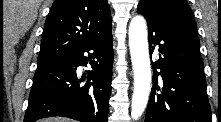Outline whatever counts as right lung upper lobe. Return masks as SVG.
Listing matches in <instances>:
<instances>
[{
    "instance_id": "cb5924a9",
    "label": "right lung upper lobe",
    "mask_w": 221,
    "mask_h": 122,
    "mask_svg": "<svg viewBox=\"0 0 221 122\" xmlns=\"http://www.w3.org/2000/svg\"><path fill=\"white\" fill-rule=\"evenodd\" d=\"M107 0H55L45 22L38 61L56 60L111 31Z\"/></svg>"
}]
</instances>
